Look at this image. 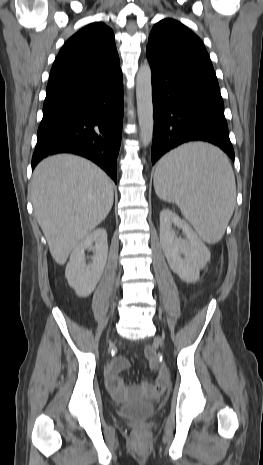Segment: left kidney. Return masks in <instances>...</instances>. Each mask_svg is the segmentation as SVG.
<instances>
[{"mask_svg": "<svg viewBox=\"0 0 263 465\" xmlns=\"http://www.w3.org/2000/svg\"><path fill=\"white\" fill-rule=\"evenodd\" d=\"M172 226L181 229L185 238L177 237ZM160 242L171 270L187 283L197 282L210 252L192 227L169 209L160 212Z\"/></svg>", "mask_w": 263, "mask_h": 465, "instance_id": "left-kidney-1", "label": "left kidney"}]
</instances>
